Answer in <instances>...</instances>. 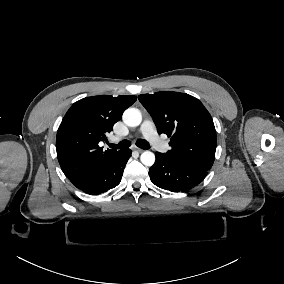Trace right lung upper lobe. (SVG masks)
<instances>
[{
    "mask_svg": "<svg viewBox=\"0 0 284 284\" xmlns=\"http://www.w3.org/2000/svg\"><path fill=\"white\" fill-rule=\"evenodd\" d=\"M133 95L86 97L75 102L57 131V158L66 177L77 187L120 151L99 147L123 112L135 101Z\"/></svg>",
    "mask_w": 284,
    "mask_h": 284,
    "instance_id": "1",
    "label": "right lung upper lobe"
}]
</instances>
